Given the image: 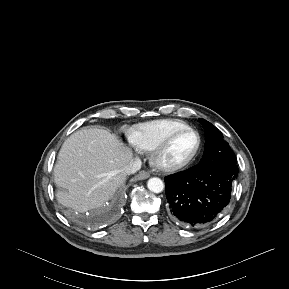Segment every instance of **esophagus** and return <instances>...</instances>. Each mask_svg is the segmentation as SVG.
<instances>
[{"instance_id": "34e87169", "label": "esophagus", "mask_w": 289, "mask_h": 289, "mask_svg": "<svg viewBox=\"0 0 289 289\" xmlns=\"http://www.w3.org/2000/svg\"><path fill=\"white\" fill-rule=\"evenodd\" d=\"M150 177V173L148 171H141L135 176V180H144Z\"/></svg>"}]
</instances>
